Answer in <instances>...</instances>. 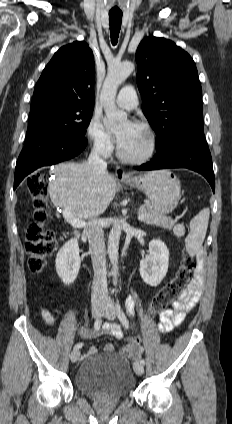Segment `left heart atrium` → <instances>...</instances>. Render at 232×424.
<instances>
[{"label":"left heart atrium","mask_w":232,"mask_h":424,"mask_svg":"<svg viewBox=\"0 0 232 424\" xmlns=\"http://www.w3.org/2000/svg\"><path fill=\"white\" fill-rule=\"evenodd\" d=\"M134 125H135L134 123L128 122L126 124L125 128L120 133H118L117 142L120 146L124 143V141L126 140L129 132L131 131V129Z\"/></svg>","instance_id":"obj_1"}]
</instances>
